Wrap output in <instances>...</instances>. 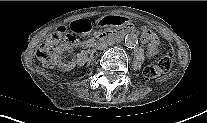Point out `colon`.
Wrapping results in <instances>:
<instances>
[{
	"instance_id": "5ec220e1",
	"label": "colon",
	"mask_w": 207,
	"mask_h": 123,
	"mask_svg": "<svg viewBox=\"0 0 207 123\" xmlns=\"http://www.w3.org/2000/svg\"><path fill=\"white\" fill-rule=\"evenodd\" d=\"M60 39H64L68 42L74 41L73 35L67 31L66 27L59 28V30L37 50V57L44 65L48 67L53 66L51 58L52 48ZM172 66L173 57L171 54H166L158 62L146 66L144 75L148 79H153L170 71Z\"/></svg>"
}]
</instances>
